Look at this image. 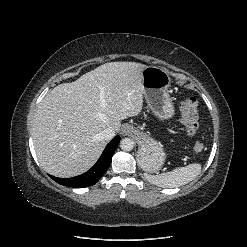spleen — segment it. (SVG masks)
Segmentation results:
<instances>
[{"mask_svg":"<svg viewBox=\"0 0 247 247\" xmlns=\"http://www.w3.org/2000/svg\"><path fill=\"white\" fill-rule=\"evenodd\" d=\"M201 172V165L192 163L159 175H147V180L159 187L174 188L185 185L195 179Z\"/></svg>","mask_w":247,"mask_h":247,"instance_id":"spleen-1","label":"spleen"}]
</instances>
